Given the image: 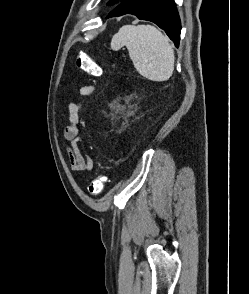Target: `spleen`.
Segmentation results:
<instances>
[{
	"mask_svg": "<svg viewBox=\"0 0 249 294\" xmlns=\"http://www.w3.org/2000/svg\"><path fill=\"white\" fill-rule=\"evenodd\" d=\"M126 46L136 70L152 81H166L174 71V50L168 37L151 25H124L112 37L115 51Z\"/></svg>",
	"mask_w": 249,
	"mask_h": 294,
	"instance_id": "spleen-1",
	"label": "spleen"
}]
</instances>
